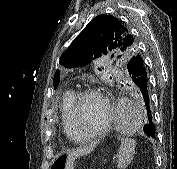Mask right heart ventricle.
Masks as SVG:
<instances>
[{
  "label": "right heart ventricle",
  "instance_id": "e07e8e85",
  "mask_svg": "<svg viewBox=\"0 0 177 169\" xmlns=\"http://www.w3.org/2000/svg\"><path fill=\"white\" fill-rule=\"evenodd\" d=\"M75 95L76 94L73 90H66L62 95V100L60 104V115L63 132L65 136L73 142H77V140L75 139V132L71 123L70 110L74 102Z\"/></svg>",
  "mask_w": 177,
  "mask_h": 169
}]
</instances>
